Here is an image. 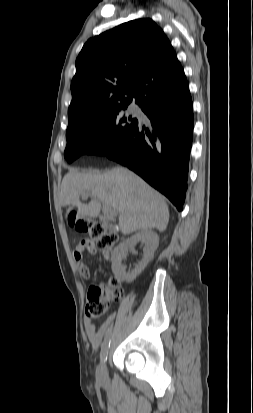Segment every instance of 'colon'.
Returning a JSON list of instances; mask_svg holds the SVG:
<instances>
[{
  "mask_svg": "<svg viewBox=\"0 0 253 413\" xmlns=\"http://www.w3.org/2000/svg\"><path fill=\"white\" fill-rule=\"evenodd\" d=\"M71 226L89 236L88 241L107 255L116 245L118 236L107 230L102 224L88 218H78L75 212L68 216ZM123 291L117 279L111 278L107 282L93 284L87 293L86 315L90 318H98L104 315L112 302L122 298Z\"/></svg>",
  "mask_w": 253,
  "mask_h": 413,
  "instance_id": "1",
  "label": "colon"
}]
</instances>
